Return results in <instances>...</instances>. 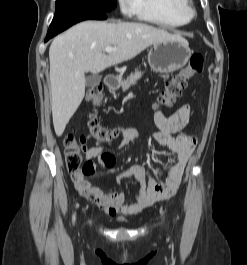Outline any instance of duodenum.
Wrapping results in <instances>:
<instances>
[{
  "mask_svg": "<svg viewBox=\"0 0 247 265\" xmlns=\"http://www.w3.org/2000/svg\"><path fill=\"white\" fill-rule=\"evenodd\" d=\"M118 84L117 77L114 75H107L105 77V85L108 89H114Z\"/></svg>",
  "mask_w": 247,
  "mask_h": 265,
  "instance_id": "1",
  "label": "duodenum"
}]
</instances>
